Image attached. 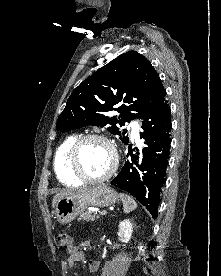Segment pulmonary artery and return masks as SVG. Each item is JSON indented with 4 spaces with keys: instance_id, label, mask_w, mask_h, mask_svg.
Wrapping results in <instances>:
<instances>
[{
    "instance_id": "1",
    "label": "pulmonary artery",
    "mask_w": 221,
    "mask_h": 276,
    "mask_svg": "<svg viewBox=\"0 0 221 276\" xmlns=\"http://www.w3.org/2000/svg\"><path fill=\"white\" fill-rule=\"evenodd\" d=\"M132 136L135 139H138V137H139V127L137 124L132 125Z\"/></svg>"
}]
</instances>
